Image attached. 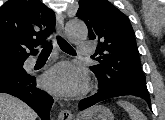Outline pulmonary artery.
<instances>
[{
  "label": "pulmonary artery",
  "mask_w": 165,
  "mask_h": 120,
  "mask_svg": "<svg viewBox=\"0 0 165 120\" xmlns=\"http://www.w3.org/2000/svg\"><path fill=\"white\" fill-rule=\"evenodd\" d=\"M94 52V45L90 42H82L79 44L78 54L81 56H89ZM29 65L34 64V60L30 59L28 61Z\"/></svg>",
  "instance_id": "e3ab8cb5"
}]
</instances>
